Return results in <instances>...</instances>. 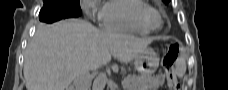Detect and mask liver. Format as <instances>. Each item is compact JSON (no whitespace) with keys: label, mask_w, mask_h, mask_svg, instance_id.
Here are the masks:
<instances>
[{"label":"liver","mask_w":228,"mask_h":90,"mask_svg":"<svg viewBox=\"0 0 228 90\" xmlns=\"http://www.w3.org/2000/svg\"><path fill=\"white\" fill-rule=\"evenodd\" d=\"M152 41L105 32L78 19L40 24L24 56L26 90H67L77 74L98 69L111 56L128 63Z\"/></svg>","instance_id":"obj_1"}]
</instances>
